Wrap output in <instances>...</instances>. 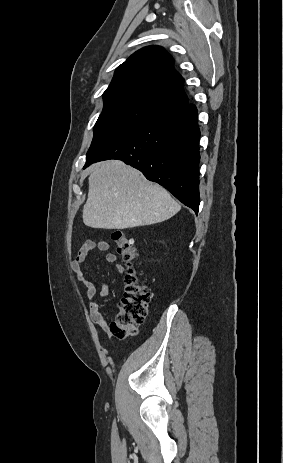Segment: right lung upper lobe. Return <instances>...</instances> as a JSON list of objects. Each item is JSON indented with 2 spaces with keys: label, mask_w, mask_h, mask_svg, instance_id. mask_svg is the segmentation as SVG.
Instances as JSON below:
<instances>
[{
  "label": "right lung upper lobe",
  "mask_w": 283,
  "mask_h": 463,
  "mask_svg": "<svg viewBox=\"0 0 283 463\" xmlns=\"http://www.w3.org/2000/svg\"><path fill=\"white\" fill-rule=\"evenodd\" d=\"M173 64L162 47H144L117 67L104 94L124 95L161 113L188 103L182 88L184 80Z\"/></svg>",
  "instance_id": "cb5924a9"
}]
</instances>
